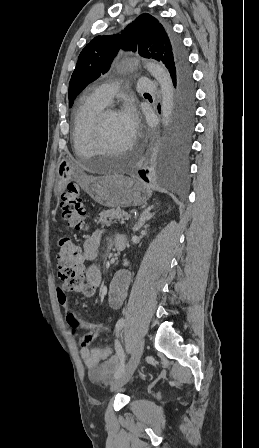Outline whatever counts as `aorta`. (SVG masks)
Instances as JSON below:
<instances>
[{"label":"aorta","mask_w":259,"mask_h":448,"mask_svg":"<svg viewBox=\"0 0 259 448\" xmlns=\"http://www.w3.org/2000/svg\"><path fill=\"white\" fill-rule=\"evenodd\" d=\"M147 69L155 77L161 88V116L162 122L167 127L171 121L174 107V89L170 75L164 65L155 61H148Z\"/></svg>","instance_id":"1"}]
</instances>
